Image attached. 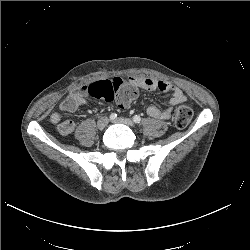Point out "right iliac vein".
<instances>
[{
    "mask_svg": "<svg viewBox=\"0 0 250 250\" xmlns=\"http://www.w3.org/2000/svg\"><path fill=\"white\" fill-rule=\"evenodd\" d=\"M108 124V118L106 116H101L97 121V128L104 129Z\"/></svg>",
    "mask_w": 250,
    "mask_h": 250,
    "instance_id": "obj_1",
    "label": "right iliac vein"
}]
</instances>
